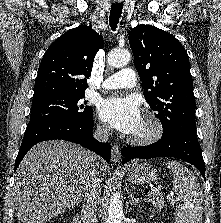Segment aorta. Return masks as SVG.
Returning <instances> with one entry per match:
<instances>
[{"label": "aorta", "mask_w": 221, "mask_h": 223, "mask_svg": "<svg viewBox=\"0 0 221 223\" xmlns=\"http://www.w3.org/2000/svg\"><path fill=\"white\" fill-rule=\"evenodd\" d=\"M131 54L128 50H113L107 56V63L111 67H123L129 63ZM123 205L118 193L113 194L108 208V223H122Z\"/></svg>", "instance_id": "762f6f07"}]
</instances>
